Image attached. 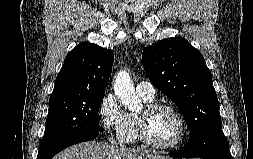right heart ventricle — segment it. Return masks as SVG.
Masks as SVG:
<instances>
[{
    "label": "right heart ventricle",
    "instance_id": "1",
    "mask_svg": "<svg viewBox=\"0 0 253 159\" xmlns=\"http://www.w3.org/2000/svg\"><path fill=\"white\" fill-rule=\"evenodd\" d=\"M142 97V96H141ZM146 103H151L153 99H147L142 97ZM138 131H137V115L127 114V126H126V140L125 143L134 144L138 141Z\"/></svg>",
    "mask_w": 253,
    "mask_h": 159
}]
</instances>
